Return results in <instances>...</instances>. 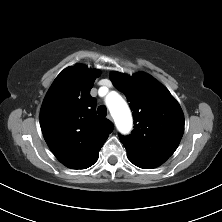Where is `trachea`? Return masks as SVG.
<instances>
[{
	"mask_svg": "<svg viewBox=\"0 0 222 222\" xmlns=\"http://www.w3.org/2000/svg\"><path fill=\"white\" fill-rule=\"evenodd\" d=\"M97 112L100 116L105 117L107 115V108L105 106H99Z\"/></svg>",
	"mask_w": 222,
	"mask_h": 222,
	"instance_id": "trachea-1",
	"label": "trachea"
}]
</instances>
